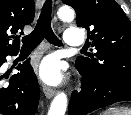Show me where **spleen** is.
<instances>
[{"label":"spleen","instance_id":"3e777b00","mask_svg":"<svg viewBox=\"0 0 131 115\" xmlns=\"http://www.w3.org/2000/svg\"><path fill=\"white\" fill-rule=\"evenodd\" d=\"M103 115H131V109L112 108L103 113Z\"/></svg>","mask_w":131,"mask_h":115}]
</instances>
